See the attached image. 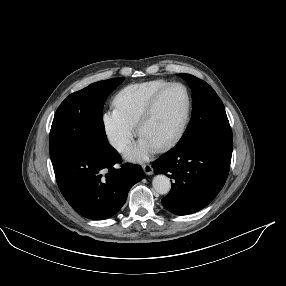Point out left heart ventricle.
Returning a JSON list of instances; mask_svg holds the SVG:
<instances>
[{
  "instance_id": "obj_1",
  "label": "left heart ventricle",
  "mask_w": 286,
  "mask_h": 286,
  "mask_svg": "<svg viewBox=\"0 0 286 286\" xmlns=\"http://www.w3.org/2000/svg\"><path fill=\"white\" fill-rule=\"evenodd\" d=\"M185 95L181 88L167 91L144 124L141 135L156 147L166 141L179 127L185 111Z\"/></svg>"
}]
</instances>
